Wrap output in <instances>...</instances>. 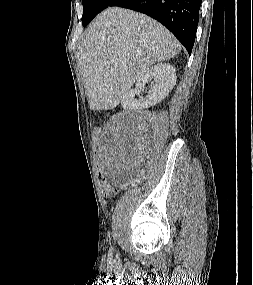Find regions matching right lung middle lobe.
<instances>
[{
  "mask_svg": "<svg viewBox=\"0 0 253 285\" xmlns=\"http://www.w3.org/2000/svg\"><path fill=\"white\" fill-rule=\"evenodd\" d=\"M115 0H82V24L86 26L99 12L109 7Z\"/></svg>",
  "mask_w": 253,
  "mask_h": 285,
  "instance_id": "dd1d6c3e",
  "label": "right lung middle lobe"
}]
</instances>
